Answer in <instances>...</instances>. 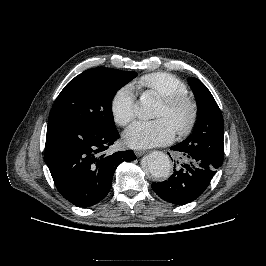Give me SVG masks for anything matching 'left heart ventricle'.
Returning a JSON list of instances; mask_svg holds the SVG:
<instances>
[{
  "label": "left heart ventricle",
  "instance_id": "b2bd125f",
  "mask_svg": "<svg viewBox=\"0 0 266 266\" xmlns=\"http://www.w3.org/2000/svg\"><path fill=\"white\" fill-rule=\"evenodd\" d=\"M189 109L184 106L180 109L172 111L167 108V106L161 101L158 105V108L155 113V117L157 118H166L174 127V129L182 125L188 118Z\"/></svg>",
  "mask_w": 266,
  "mask_h": 266
}]
</instances>
